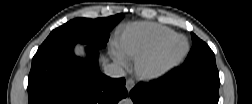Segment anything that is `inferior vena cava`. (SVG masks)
Returning a JSON list of instances; mask_svg holds the SVG:
<instances>
[{
  "mask_svg": "<svg viewBox=\"0 0 252 104\" xmlns=\"http://www.w3.org/2000/svg\"><path fill=\"white\" fill-rule=\"evenodd\" d=\"M104 73L111 78H120L125 75L124 69L115 63H110L104 66Z\"/></svg>",
  "mask_w": 252,
  "mask_h": 104,
  "instance_id": "1",
  "label": "inferior vena cava"
}]
</instances>
